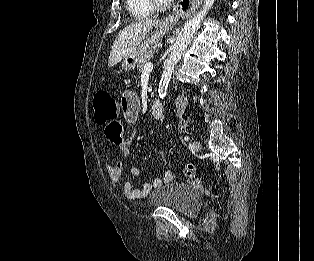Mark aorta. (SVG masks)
I'll return each mask as SVG.
<instances>
[{
  "instance_id": "aorta-1",
  "label": "aorta",
  "mask_w": 314,
  "mask_h": 261,
  "mask_svg": "<svg viewBox=\"0 0 314 261\" xmlns=\"http://www.w3.org/2000/svg\"><path fill=\"white\" fill-rule=\"evenodd\" d=\"M215 0H204L201 10L191 19L187 20L176 37L172 46L170 57L164 67L161 80L159 83L158 94L160 99H164L167 93V87L171 79L176 64L181 59L182 52L190 43L193 35L200 28L201 22L213 7Z\"/></svg>"
}]
</instances>
